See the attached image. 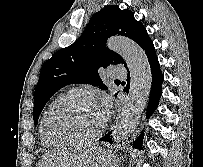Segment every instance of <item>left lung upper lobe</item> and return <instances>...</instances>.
I'll use <instances>...</instances> for the list:
<instances>
[{"mask_svg":"<svg viewBox=\"0 0 203 167\" xmlns=\"http://www.w3.org/2000/svg\"><path fill=\"white\" fill-rule=\"evenodd\" d=\"M114 35L128 37L141 47L151 40L131 10H121L112 5L95 13L77 41L58 50L43 64L34 93V124H37L48 100L65 85L88 83L108 89L103 84L99 69L110 64H124L127 67L119 54L106 47L107 39Z\"/></svg>","mask_w":203,"mask_h":167,"instance_id":"5c2ea615","label":"left lung upper lobe"}]
</instances>
